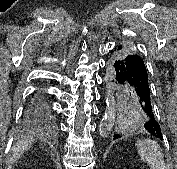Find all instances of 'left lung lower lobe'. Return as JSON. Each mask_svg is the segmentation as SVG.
Returning a JSON list of instances; mask_svg holds the SVG:
<instances>
[{"instance_id": "obj_1", "label": "left lung lower lobe", "mask_w": 177, "mask_h": 169, "mask_svg": "<svg viewBox=\"0 0 177 169\" xmlns=\"http://www.w3.org/2000/svg\"><path fill=\"white\" fill-rule=\"evenodd\" d=\"M121 45H117L110 58V71L113 76V83L120 94L127 92L136 95L142 109L148 116L145 130L159 139H163L160 126L155 119L150 100L149 78L146 65L143 59L136 54H128L123 58L116 59ZM120 137L115 134L114 139Z\"/></svg>"}]
</instances>
